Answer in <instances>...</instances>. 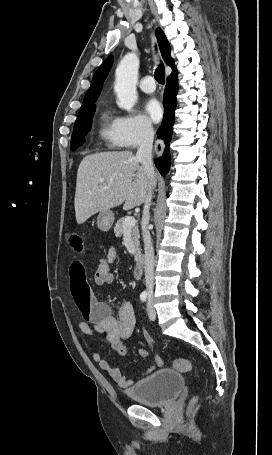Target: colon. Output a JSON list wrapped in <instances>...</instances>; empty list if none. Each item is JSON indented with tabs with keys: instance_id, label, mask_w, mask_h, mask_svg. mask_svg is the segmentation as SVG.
I'll list each match as a JSON object with an SVG mask.
<instances>
[{
	"instance_id": "5ec220e1",
	"label": "colon",
	"mask_w": 272,
	"mask_h": 455,
	"mask_svg": "<svg viewBox=\"0 0 272 455\" xmlns=\"http://www.w3.org/2000/svg\"><path fill=\"white\" fill-rule=\"evenodd\" d=\"M113 280V275L110 270V263L107 260L106 255L102 256L93 269V281L96 285L109 284ZM175 369L181 372H191L193 370V364L189 360L175 359L173 362Z\"/></svg>"
}]
</instances>
